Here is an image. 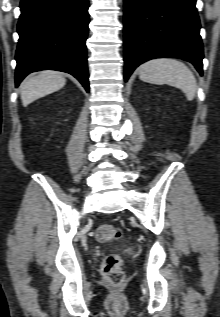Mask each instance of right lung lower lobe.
<instances>
[{
	"mask_svg": "<svg viewBox=\"0 0 220 317\" xmlns=\"http://www.w3.org/2000/svg\"><path fill=\"white\" fill-rule=\"evenodd\" d=\"M88 0H22L16 51V87L31 72L70 73L89 92L85 41Z\"/></svg>",
	"mask_w": 220,
	"mask_h": 317,
	"instance_id": "right-lung-lower-lobe-1",
	"label": "right lung lower lobe"
}]
</instances>
